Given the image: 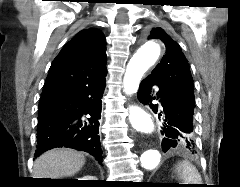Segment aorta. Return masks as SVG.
<instances>
[{"mask_svg": "<svg viewBox=\"0 0 240 187\" xmlns=\"http://www.w3.org/2000/svg\"><path fill=\"white\" fill-rule=\"evenodd\" d=\"M160 45L155 41L146 42L130 59L123 79V87L126 94L136 93L144 73L157 61L160 55ZM129 120L133 128L144 134L154 131V123L151 116L138 107L130 108ZM161 161V153L158 149H146L140 156L142 168L155 169Z\"/></svg>", "mask_w": 240, "mask_h": 187, "instance_id": "1", "label": "aorta"}]
</instances>
